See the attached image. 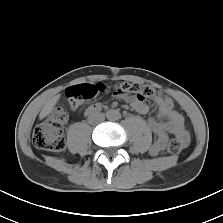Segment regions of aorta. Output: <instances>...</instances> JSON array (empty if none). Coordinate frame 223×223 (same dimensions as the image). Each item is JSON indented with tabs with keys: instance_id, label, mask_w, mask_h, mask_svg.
<instances>
[{
	"instance_id": "762f6f07",
	"label": "aorta",
	"mask_w": 223,
	"mask_h": 223,
	"mask_svg": "<svg viewBox=\"0 0 223 223\" xmlns=\"http://www.w3.org/2000/svg\"><path fill=\"white\" fill-rule=\"evenodd\" d=\"M106 116L109 120H116L119 117L118 113L115 110H109Z\"/></svg>"
}]
</instances>
